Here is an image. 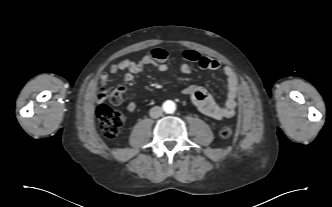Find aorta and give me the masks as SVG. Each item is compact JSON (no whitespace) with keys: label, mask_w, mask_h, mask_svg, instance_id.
Wrapping results in <instances>:
<instances>
[{"label":"aorta","mask_w":332,"mask_h":207,"mask_svg":"<svg viewBox=\"0 0 332 207\" xmlns=\"http://www.w3.org/2000/svg\"><path fill=\"white\" fill-rule=\"evenodd\" d=\"M163 110L168 113L171 114L176 110V104L175 102L171 101V100H167L163 103Z\"/></svg>","instance_id":"obj_1"}]
</instances>
